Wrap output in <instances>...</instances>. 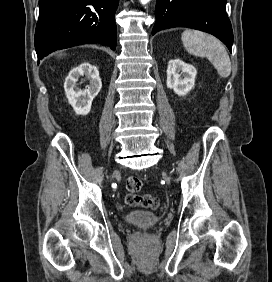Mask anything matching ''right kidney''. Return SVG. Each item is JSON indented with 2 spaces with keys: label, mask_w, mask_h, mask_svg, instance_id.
I'll use <instances>...</instances> for the list:
<instances>
[{
  "label": "right kidney",
  "mask_w": 272,
  "mask_h": 282,
  "mask_svg": "<svg viewBox=\"0 0 272 282\" xmlns=\"http://www.w3.org/2000/svg\"><path fill=\"white\" fill-rule=\"evenodd\" d=\"M84 75L89 79L90 84L85 90H81L76 83L78 78ZM101 88L102 82L98 69L87 62L74 67L64 82L66 97L77 115H86L90 112L92 101L98 95Z\"/></svg>",
  "instance_id": "ca27d5eb"
}]
</instances>
